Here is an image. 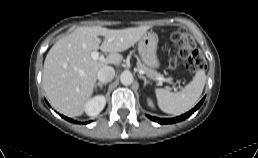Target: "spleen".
<instances>
[{"instance_id": "1", "label": "spleen", "mask_w": 258, "mask_h": 158, "mask_svg": "<svg viewBox=\"0 0 258 158\" xmlns=\"http://www.w3.org/2000/svg\"><path fill=\"white\" fill-rule=\"evenodd\" d=\"M206 83L204 70H199L192 81L178 93L156 89L155 95L160 109L168 114L180 115L192 108L202 94Z\"/></svg>"}]
</instances>
